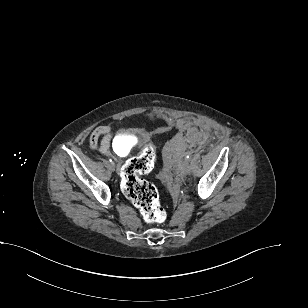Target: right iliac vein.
<instances>
[{
  "label": "right iliac vein",
  "mask_w": 308,
  "mask_h": 308,
  "mask_svg": "<svg viewBox=\"0 0 308 308\" xmlns=\"http://www.w3.org/2000/svg\"><path fill=\"white\" fill-rule=\"evenodd\" d=\"M110 166H111V168H112L113 170H115L116 165H115V163H114V162H112Z\"/></svg>",
  "instance_id": "63e3f726"
}]
</instances>
